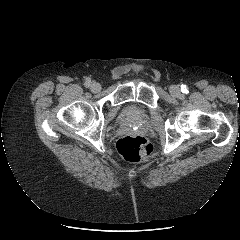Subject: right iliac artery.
<instances>
[{
  "label": "right iliac artery",
  "instance_id": "right-iliac-artery-1",
  "mask_svg": "<svg viewBox=\"0 0 240 240\" xmlns=\"http://www.w3.org/2000/svg\"><path fill=\"white\" fill-rule=\"evenodd\" d=\"M90 84H91V80H90V79H87V80L85 81V86L88 87Z\"/></svg>",
  "mask_w": 240,
  "mask_h": 240
}]
</instances>
